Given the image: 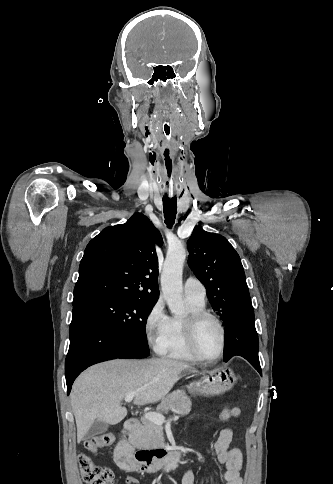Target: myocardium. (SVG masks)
I'll use <instances>...</instances> for the list:
<instances>
[{"label":"myocardium","instance_id":"myocardium-1","mask_svg":"<svg viewBox=\"0 0 333 484\" xmlns=\"http://www.w3.org/2000/svg\"><path fill=\"white\" fill-rule=\"evenodd\" d=\"M207 319H210V320H212L216 323V325L219 328L220 336H221L220 349H219L217 355L213 358L204 357L199 352L198 347H197L198 328H199L200 324ZM184 327H185V337H186L187 345H188L191 353L199 361L204 362V363H213V362L218 361L223 356L224 351H225V347H226V330H225V327H224L222 321L215 314H213V313H211L207 310L190 312L185 317Z\"/></svg>","mask_w":333,"mask_h":484}]
</instances>
